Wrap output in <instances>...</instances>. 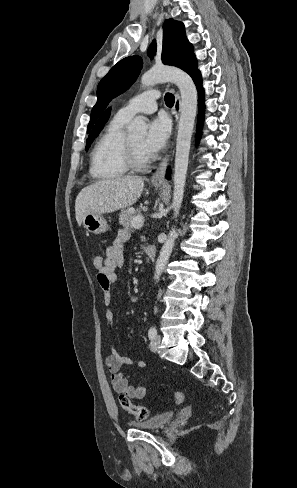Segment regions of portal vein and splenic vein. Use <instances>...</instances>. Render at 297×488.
Returning <instances> with one entry per match:
<instances>
[{
  "label": "portal vein and splenic vein",
  "mask_w": 297,
  "mask_h": 488,
  "mask_svg": "<svg viewBox=\"0 0 297 488\" xmlns=\"http://www.w3.org/2000/svg\"><path fill=\"white\" fill-rule=\"evenodd\" d=\"M133 210V209H130ZM144 223V217L142 215H138L133 219L132 224L134 225L135 228H141Z\"/></svg>",
  "instance_id": "1"
}]
</instances>
